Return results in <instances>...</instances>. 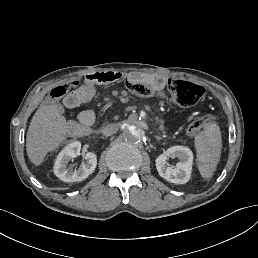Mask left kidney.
Segmentation results:
<instances>
[{
	"label": "left kidney",
	"instance_id": "obj_1",
	"mask_svg": "<svg viewBox=\"0 0 258 258\" xmlns=\"http://www.w3.org/2000/svg\"><path fill=\"white\" fill-rule=\"evenodd\" d=\"M166 155L170 158L177 157L181 161L176 168L166 165V158L159 156L156 160V167L159 175L165 180L175 184H186L192 173L193 152L185 146L175 145L167 149Z\"/></svg>",
	"mask_w": 258,
	"mask_h": 258
}]
</instances>
